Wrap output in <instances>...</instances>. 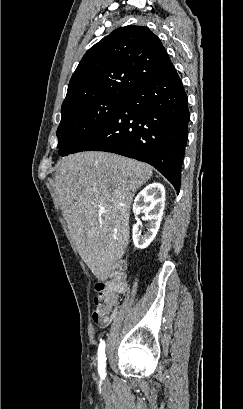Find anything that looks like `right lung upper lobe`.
Instances as JSON below:
<instances>
[{"mask_svg":"<svg viewBox=\"0 0 243 409\" xmlns=\"http://www.w3.org/2000/svg\"><path fill=\"white\" fill-rule=\"evenodd\" d=\"M174 71L167 51L149 28L121 27L83 56L70 79L62 108L96 98L127 97Z\"/></svg>","mask_w":243,"mask_h":409,"instance_id":"right-lung-upper-lobe-1","label":"right lung upper lobe"}]
</instances>
